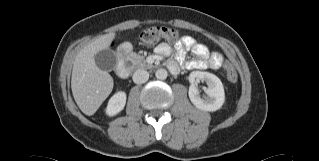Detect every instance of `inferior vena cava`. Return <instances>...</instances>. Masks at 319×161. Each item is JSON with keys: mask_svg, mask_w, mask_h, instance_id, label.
Masks as SVG:
<instances>
[{"mask_svg": "<svg viewBox=\"0 0 319 161\" xmlns=\"http://www.w3.org/2000/svg\"><path fill=\"white\" fill-rule=\"evenodd\" d=\"M149 79V73L146 70L138 69L133 74V81L136 84L145 83Z\"/></svg>", "mask_w": 319, "mask_h": 161, "instance_id": "1", "label": "inferior vena cava"}]
</instances>
